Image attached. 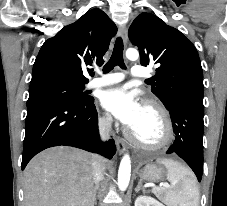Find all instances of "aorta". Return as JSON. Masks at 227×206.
<instances>
[{
  "instance_id": "obj_1",
  "label": "aorta",
  "mask_w": 227,
  "mask_h": 206,
  "mask_svg": "<svg viewBox=\"0 0 227 206\" xmlns=\"http://www.w3.org/2000/svg\"><path fill=\"white\" fill-rule=\"evenodd\" d=\"M126 57L129 60L135 61L139 57L136 49L129 48L126 51ZM131 176V160L128 154L124 155L118 170V187L120 191H125L129 185Z\"/></svg>"
}]
</instances>
